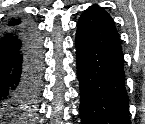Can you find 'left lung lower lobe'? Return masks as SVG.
Returning a JSON list of instances; mask_svg holds the SVG:
<instances>
[{
	"label": "left lung lower lobe",
	"instance_id": "left-lung-lower-lobe-1",
	"mask_svg": "<svg viewBox=\"0 0 145 124\" xmlns=\"http://www.w3.org/2000/svg\"><path fill=\"white\" fill-rule=\"evenodd\" d=\"M75 42L82 124H130L123 52L110 15L97 5L85 10Z\"/></svg>",
	"mask_w": 145,
	"mask_h": 124
}]
</instances>
